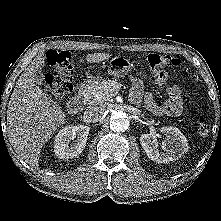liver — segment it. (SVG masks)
Segmentation results:
<instances>
[{
	"label": "liver",
	"mask_w": 221,
	"mask_h": 221,
	"mask_svg": "<svg viewBox=\"0 0 221 221\" xmlns=\"http://www.w3.org/2000/svg\"><path fill=\"white\" fill-rule=\"evenodd\" d=\"M109 53L87 54L86 61L99 63ZM40 53L16 82L7 110V133L15 152L30 166H37L45 142L65 123L61 107L37 86L34 74L45 66Z\"/></svg>",
	"instance_id": "liver-1"
}]
</instances>
